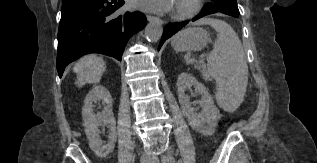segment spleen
Returning a JSON list of instances; mask_svg holds the SVG:
<instances>
[{"mask_svg": "<svg viewBox=\"0 0 317 163\" xmlns=\"http://www.w3.org/2000/svg\"><path fill=\"white\" fill-rule=\"evenodd\" d=\"M208 24L217 32L214 48L207 58L209 74L216 80L215 98L227 112H234L241 104L248 83V66L242 43L226 22L203 18L195 25Z\"/></svg>", "mask_w": 317, "mask_h": 163, "instance_id": "3e777b00", "label": "spleen"}]
</instances>
